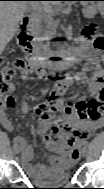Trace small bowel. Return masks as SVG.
<instances>
[{
    "instance_id": "c3829d8e",
    "label": "small bowel",
    "mask_w": 104,
    "mask_h": 189,
    "mask_svg": "<svg viewBox=\"0 0 104 189\" xmlns=\"http://www.w3.org/2000/svg\"><path fill=\"white\" fill-rule=\"evenodd\" d=\"M29 74H37L31 67L25 68L21 72V79L27 80ZM72 81H79L87 86L88 93L92 94L94 97L90 100H87L84 95L79 96L72 103L73 108L68 114H64L56 119L54 122L58 128L62 131L63 136L66 138L67 147L65 149H56L50 146V149L57 153L51 157V161L54 165H70L76 161L80 154V147L83 143V139L89 137L94 130L99 128L102 124V114L101 115H87L84 107L88 102L91 101H100L102 102V96L104 94L103 86L98 81H93L84 76L83 70H78L70 78L69 81L61 82L55 85L53 90L54 96H61L66 93ZM54 105L63 106L61 100H56L53 102ZM41 106L45 105H40ZM3 106V109L0 111V122L7 131H12L14 129L13 122L9 115L6 112V109L13 108ZM29 111V106L27 103H24L22 106V114L25 115ZM48 123L40 122L41 129H43ZM17 142L20 152L22 154V161L26 169L33 173L39 174L43 171L45 166L38 165L35 166L31 163L34 157V151L27 139L23 136H17L14 139Z\"/></svg>"
}]
</instances>
